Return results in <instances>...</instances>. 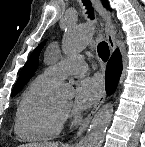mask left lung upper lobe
I'll return each instance as SVG.
<instances>
[{
  "mask_svg": "<svg viewBox=\"0 0 145 147\" xmlns=\"http://www.w3.org/2000/svg\"><path fill=\"white\" fill-rule=\"evenodd\" d=\"M105 6H107V2H103ZM44 43L40 44L31 54L28 61L22 68L20 75L18 77V80L12 90V96H15L23 87L26 85V83L29 81V79L33 76L34 72L36 71L38 67V57L39 53L43 47Z\"/></svg>",
  "mask_w": 145,
  "mask_h": 147,
  "instance_id": "obj_1",
  "label": "left lung upper lobe"
}]
</instances>
